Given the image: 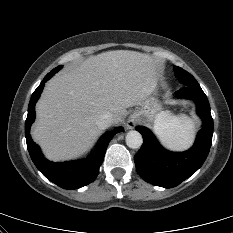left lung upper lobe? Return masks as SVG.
Segmentation results:
<instances>
[{"label":"left lung upper lobe","mask_w":233,"mask_h":233,"mask_svg":"<svg viewBox=\"0 0 233 233\" xmlns=\"http://www.w3.org/2000/svg\"><path fill=\"white\" fill-rule=\"evenodd\" d=\"M173 68H174V71H175V74H176L177 78L185 86L200 87V85L198 84L196 79L190 73H188L187 71H185L184 69H182V68H180L178 66H174Z\"/></svg>","instance_id":"left-lung-upper-lobe-1"}]
</instances>
